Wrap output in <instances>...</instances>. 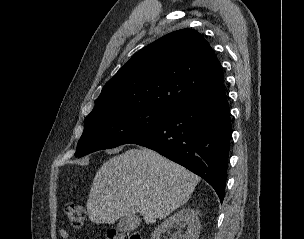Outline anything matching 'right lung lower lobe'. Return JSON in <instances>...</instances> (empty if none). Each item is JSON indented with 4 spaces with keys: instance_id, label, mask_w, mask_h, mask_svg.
I'll return each mask as SVG.
<instances>
[{
    "instance_id": "obj_1",
    "label": "right lung lower lobe",
    "mask_w": 304,
    "mask_h": 239,
    "mask_svg": "<svg viewBox=\"0 0 304 239\" xmlns=\"http://www.w3.org/2000/svg\"><path fill=\"white\" fill-rule=\"evenodd\" d=\"M232 135L230 109L221 83L174 111L159 126L129 143L157 151L205 179L222 202Z\"/></svg>"
}]
</instances>
